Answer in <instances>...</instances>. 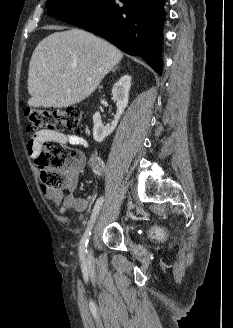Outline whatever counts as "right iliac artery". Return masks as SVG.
Listing matches in <instances>:
<instances>
[{
    "mask_svg": "<svg viewBox=\"0 0 233 328\" xmlns=\"http://www.w3.org/2000/svg\"><path fill=\"white\" fill-rule=\"evenodd\" d=\"M93 167H94V172H96V174L100 175L101 171H102V168H103V164H102V162L100 161L99 158L96 157V158L93 159ZM103 201H104L103 197H100V198L97 199V201L94 205L92 214H91V218L88 222V226L86 228V231H85V233H84V235H83V237L80 241L79 255L82 258H84L87 255V245H88L89 237L91 235V229H92L93 223L95 222L96 216L99 213V210H100V207H101Z\"/></svg>",
    "mask_w": 233,
    "mask_h": 328,
    "instance_id": "82829eb1",
    "label": "right iliac artery"
}]
</instances>
